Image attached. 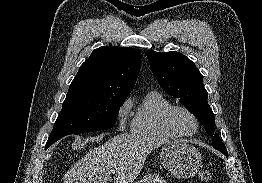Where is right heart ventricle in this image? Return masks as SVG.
I'll use <instances>...</instances> for the list:
<instances>
[{"label":"right heart ventricle","mask_w":262,"mask_h":183,"mask_svg":"<svg viewBox=\"0 0 262 183\" xmlns=\"http://www.w3.org/2000/svg\"><path fill=\"white\" fill-rule=\"evenodd\" d=\"M172 106L162 93L150 91L136 108L131 122L132 132L147 137L177 138L165 125V114Z\"/></svg>","instance_id":"e07e8e85"}]
</instances>
